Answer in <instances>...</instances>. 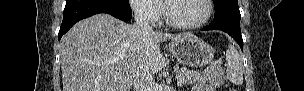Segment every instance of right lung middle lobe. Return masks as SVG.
I'll list each match as a JSON object with an SVG mask.
<instances>
[{
	"label": "right lung middle lobe",
	"instance_id": "obj_1",
	"mask_svg": "<svg viewBox=\"0 0 304 91\" xmlns=\"http://www.w3.org/2000/svg\"><path fill=\"white\" fill-rule=\"evenodd\" d=\"M114 3L120 7L130 8L128 0H114Z\"/></svg>",
	"mask_w": 304,
	"mask_h": 91
}]
</instances>
